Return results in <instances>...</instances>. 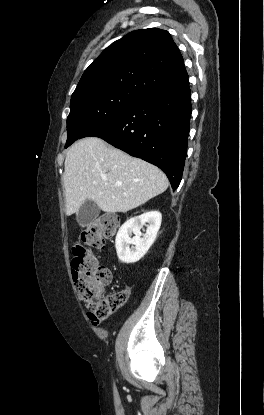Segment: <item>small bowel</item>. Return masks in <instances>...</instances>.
Here are the masks:
<instances>
[{
	"mask_svg": "<svg viewBox=\"0 0 264 415\" xmlns=\"http://www.w3.org/2000/svg\"><path fill=\"white\" fill-rule=\"evenodd\" d=\"M72 278H73V280H74V281H76V282H77V281H78V279H79V276H78V274H73V273H72Z\"/></svg>",
	"mask_w": 264,
	"mask_h": 415,
	"instance_id": "1",
	"label": "small bowel"
}]
</instances>
